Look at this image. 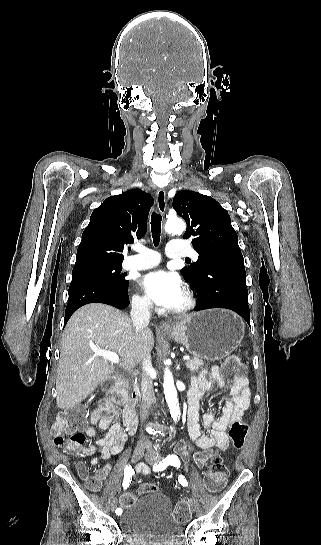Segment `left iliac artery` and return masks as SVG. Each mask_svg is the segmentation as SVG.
<instances>
[{
    "label": "left iliac artery",
    "mask_w": 321,
    "mask_h": 545,
    "mask_svg": "<svg viewBox=\"0 0 321 545\" xmlns=\"http://www.w3.org/2000/svg\"><path fill=\"white\" fill-rule=\"evenodd\" d=\"M174 466V467H180V460L176 455H168L166 458H164L162 461L159 462V464H155L154 470L155 471H161L165 469L167 466ZM179 482L183 486H187L188 482L183 476H179Z\"/></svg>",
    "instance_id": "obj_1"
}]
</instances>
